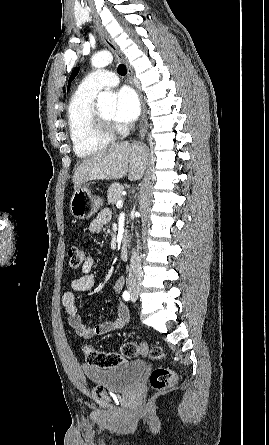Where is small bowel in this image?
Returning a JSON list of instances; mask_svg holds the SVG:
<instances>
[{
	"mask_svg": "<svg viewBox=\"0 0 269 445\" xmlns=\"http://www.w3.org/2000/svg\"><path fill=\"white\" fill-rule=\"evenodd\" d=\"M110 220V212L103 210L99 215L93 219L89 225V230L93 234H98L102 231L103 226ZM95 261L93 257H87L81 267V274L71 282V290L66 291L62 295V304L68 315V323L70 327L81 337L90 339L95 336L106 334L112 330L120 329L129 322V310L124 303L118 301L117 316L114 319H108L102 323L94 326H87L84 324L82 317L78 312L76 305L75 293L90 291L95 286V276L92 272ZM125 285V278L119 277L112 289L115 294H119Z\"/></svg>",
	"mask_w": 269,
	"mask_h": 445,
	"instance_id": "obj_1",
	"label": "small bowel"
}]
</instances>
